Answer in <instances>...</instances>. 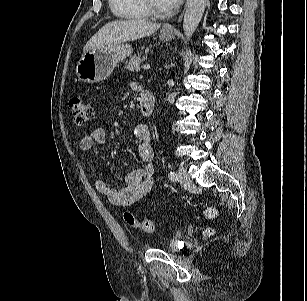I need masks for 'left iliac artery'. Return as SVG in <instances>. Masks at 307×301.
<instances>
[{
  "instance_id": "44dca946",
  "label": "left iliac artery",
  "mask_w": 307,
  "mask_h": 301,
  "mask_svg": "<svg viewBox=\"0 0 307 301\" xmlns=\"http://www.w3.org/2000/svg\"><path fill=\"white\" fill-rule=\"evenodd\" d=\"M168 177H169V179H170L171 181H173V182L178 180V175H177V173L174 172V171H171V172L169 173Z\"/></svg>"
}]
</instances>
